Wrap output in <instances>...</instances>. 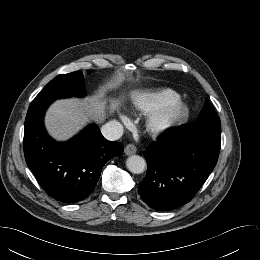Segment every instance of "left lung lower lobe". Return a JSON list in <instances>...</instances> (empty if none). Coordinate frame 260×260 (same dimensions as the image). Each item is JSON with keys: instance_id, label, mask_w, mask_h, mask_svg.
Wrapping results in <instances>:
<instances>
[{"instance_id": "obj_1", "label": "left lung lower lobe", "mask_w": 260, "mask_h": 260, "mask_svg": "<svg viewBox=\"0 0 260 260\" xmlns=\"http://www.w3.org/2000/svg\"><path fill=\"white\" fill-rule=\"evenodd\" d=\"M220 147L221 137L186 129L166 132L144 152L148 169L139 195L160 211L186 204L214 169Z\"/></svg>"}]
</instances>
